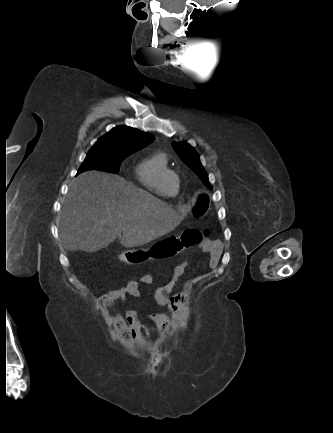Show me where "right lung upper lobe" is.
I'll use <instances>...</instances> for the list:
<instances>
[{
  "label": "right lung upper lobe",
  "instance_id": "1",
  "mask_svg": "<svg viewBox=\"0 0 333 433\" xmlns=\"http://www.w3.org/2000/svg\"><path fill=\"white\" fill-rule=\"evenodd\" d=\"M154 136L128 126H116L102 136L93 147L132 154L154 141Z\"/></svg>",
  "mask_w": 333,
  "mask_h": 433
}]
</instances>
